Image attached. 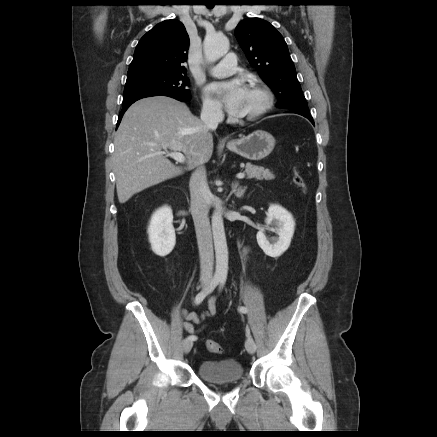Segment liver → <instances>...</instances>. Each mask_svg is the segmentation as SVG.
Instances as JSON below:
<instances>
[{"mask_svg": "<svg viewBox=\"0 0 437 437\" xmlns=\"http://www.w3.org/2000/svg\"><path fill=\"white\" fill-rule=\"evenodd\" d=\"M112 156L120 203L208 162L213 136L189 108L173 98L155 96L133 103L114 138ZM162 149L182 152L186 166H175Z\"/></svg>", "mask_w": 437, "mask_h": 437, "instance_id": "obj_1", "label": "liver"}]
</instances>
